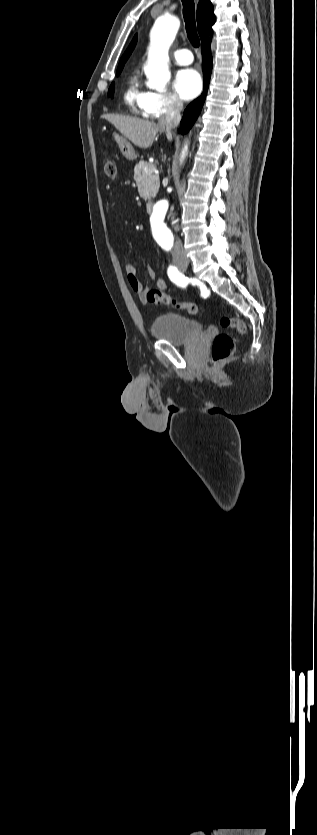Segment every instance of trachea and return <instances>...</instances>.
Here are the masks:
<instances>
[{"label": "trachea", "instance_id": "1", "mask_svg": "<svg viewBox=\"0 0 317 835\" xmlns=\"http://www.w3.org/2000/svg\"><path fill=\"white\" fill-rule=\"evenodd\" d=\"M183 4V17L186 24V31L189 41L194 47H199L200 40L196 32L195 3L194 0H181Z\"/></svg>", "mask_w": 317, "mask_h": 835}]
</instances>
